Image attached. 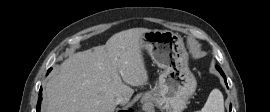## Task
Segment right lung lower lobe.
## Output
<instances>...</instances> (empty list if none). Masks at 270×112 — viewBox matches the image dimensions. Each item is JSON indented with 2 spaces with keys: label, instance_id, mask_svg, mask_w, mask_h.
<instances>
[{
  "label": "right lung lower lobe",
  "instance_id": "right-lung-lower-lobe-1",
  "mask_svg": "<svg viewBox=\"0 0 270 112\" xmlns=\"http://www.w3.org/2000/svg\"><path fill=\"white\" fill-rule=\"evenodd\" d=\"M50 71H51V68L48 70V73ZM41 100H42V88H40V92H39V98H38V103H37V112H40ZM120 112H133V111L129 110V111H120Z\"/></svg>",
  "mask_w": 270,
  "mask_h": 112
}]
</instances>
